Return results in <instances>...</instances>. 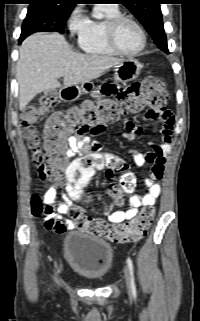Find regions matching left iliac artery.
Instances as JSON below:
<instances>
[{
  "label": "left iliac artery",
  "instance_id": "left-iliac-artery-1",
  "mask_svg": "<svg viewBox=\"0 0 200 321\" xmlns=\"http://www.w3.org/2000/svg\"><path fill=\"white\" fill-rule=\"evenodd\" d=\"M127 264H128V268H129L130 275H131L132 293L134 296H136V285H135L134 275H133V262L130 257L127 258Z\"/></svg>",
  "mask_w": 200,
  "mask_h": 321
}]
</instances>
